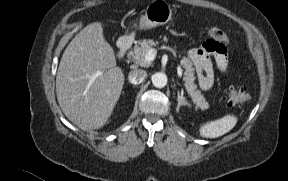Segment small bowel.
Returning <instances> with one entry per match:
<instances>
[{"label":"small bowel","instance_id":"small-bowel-1","mask_svg":"<svg viewBox=\"0 0 288 181\" xmlns=\"http://www.w3.org/2000/svg\"><path fill=\"white\" fill-rule=\"evenodd\" d=\"M189 56L197 68L199 85L203 90L212 88L215 68L221 73L227 71L228 58L225 52L212 49L207 44L203 48L190 50Z\"/></svg>","mask_w":288,"mask_h":181}]
</instances>
